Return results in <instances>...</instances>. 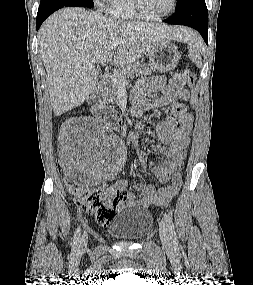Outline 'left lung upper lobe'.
<instances>
[{
	"label": "left lung upper lobe",
	"instance_id": "5c2ea615",
	"mask_svg": "<svg viewBox=\"0 0 253 285\" xmlns=\"http://www.w3.org/2000/svg\"><path fill=\"white\" fill-rule=\"evenodd\" d=\"M186 1H188V0H178V2H177V8L179 7V6H181L183 3H185Z\"/></svg>",
	"mask_w": 253,
	"mask_h": 285
}]
</instances>
